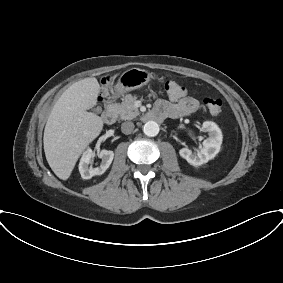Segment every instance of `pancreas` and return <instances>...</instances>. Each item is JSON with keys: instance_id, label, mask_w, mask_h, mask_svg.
I'll return each mask as SVG.
<instances>
[{"instance_id": "pancreas-1", "label": "pancreas", "mask_w": 283, "mask_h": 283, "mask_svg": "<svg viewBox=\"0 0 283 283\" xmlns=\"http://www.w3.org/2000/svg\"><path fill=\"white\" fill-rule=\"evenodd\" d=\"M135 100V96L128 94L121 103L113 104L112 108L122 120H131L140 114L138 108L134 105Z\"/></svg>"}]
</instances>
